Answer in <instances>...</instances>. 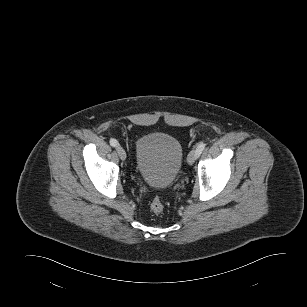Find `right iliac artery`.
I'll return each instance as SVG.
<instances>
[{
    "instance_id": "obj_1",
    "label": "right iliac artery",
    "mask_w": 307,
    "mask_h": 307,
    "mask_svg": "<svg viewBox=\"0 0 307 307\" xmlns=\"http://www.w3.org/2000/svg\"><path fill=\"white\" fill-rule=\"evenodd\" d=\"M110 145H111L112 147H117V146H118V141H117L116 139L112 138V139L110 140Z\"/></svg>"
}]
</instances>
